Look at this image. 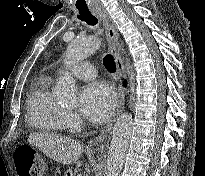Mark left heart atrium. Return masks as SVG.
<instances>
[{
	"instance_id": "1",
	"label": "left heart atrium",
	"mask_w": 205,
	"mask_h": 176,
	"mask_svg": "<svg viewBox=\"0 0 205 176\" xmlns=\"http://www.w3.org/2000/svg\"><path fill=\"white\" fill-rule=\"evenodd\" d=\"M115 103L110 85L102 81L91 82L82 89L80 111L91 121L101 123L108 119Z\"/></svg>"
}]
</instances>
